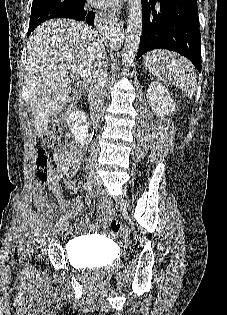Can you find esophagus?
Instances as JSON below:
<instances>
[{
  "mask_svg": "<svg viewBox=\"0 0 227 315\" xmlns=\"http://www.w3.org/2000/svg\"><path fill=\"white\" fill-rule=\"evenodd\" d=\"M110 18L113 20V22H115V23H120V20H119V18L116 16L115 13H111V14H110Z\"/></svg>",
  "mask_w": 227,
  "mask_h": 315,
  "instance_id": "esophagus-1",
  "label": "esophagus"
}]
</instances>
